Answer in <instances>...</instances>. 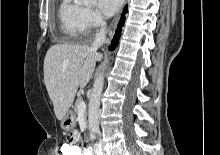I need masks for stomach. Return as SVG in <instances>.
<instances>
[{
	"mask_svg": "<svg viewBox=\"0 0 220 155\" xmlns=\"http://www.w3.org/2000/svg\"><path fill=\"white\" fill-rule=\"evenodd\" d=\"M75 127V115L73 112L69 111L64 116L61 122V128L67 132V130H72Z\"/></svg>",
	"mask_w": 220,
	"mask_h": 155,
	"instance_id": "stomach-1",
	"label": "stomach"
}]
</instances>
